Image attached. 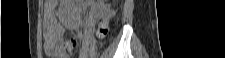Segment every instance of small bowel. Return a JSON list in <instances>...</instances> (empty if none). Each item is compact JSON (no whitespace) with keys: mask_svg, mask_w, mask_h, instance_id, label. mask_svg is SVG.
I'll list each match as a JSON object with an SVG mask.
<instances>
[{"mask_svg":"<svg viewBox=\"0 0 225 58\" xmlns=\"http://www.w3.org/2000/svg\"><path fill=\"white\" fill-rule=\"evenodd\" d=\"M60 3L47 1L44 9V50L52 57H62L61 50L64 45L66 28L58 20L55 10ZM110 13V11H106Z\"/></svg>","mask_w":225,"mask_h":58,"instance_id":"1","label":"small bowel"}]
</instances>
